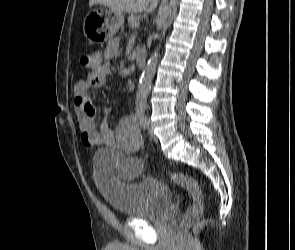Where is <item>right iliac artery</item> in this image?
<instances>
[{
	"instance_id": "right-iliac-artery-1",
	"label": "right iliac artery",
	"mask_w": 295,
	"mask_h": 250,
	"mask_svg": "<svg viewBox=\"0 0 295 250\" xmlns=\"http://www.w3.org/2000/svg\"><path fill=\"white\" fill-rule=\"evenodd\" d=\"M137 118H138V121H139L140 125L145 128L146 119H145L144 110H142V109L137 110Z\"/></svg>"
}]
</instances>
